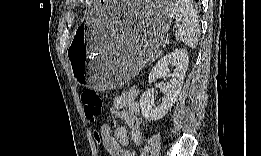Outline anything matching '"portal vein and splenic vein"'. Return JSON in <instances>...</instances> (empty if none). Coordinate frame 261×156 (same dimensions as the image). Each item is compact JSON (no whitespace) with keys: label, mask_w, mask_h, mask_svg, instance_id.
I'll use <instances>...</instances> for the list:
<instances>
[{"label":"portal vein and splenic vein","mask_w":261,"mask_h":156,"mask_svg":"<svg viewBox=\"0 0 261 156\" xmlns=\"http://www.w3.org/2000/svg\"><path fill=\"white\" fill-rule=\"evenodd\" d=\"M168 43H169V40H168V39H166V40H165V44H168Z\"/></svg>","instance_id":"1"}]
</instances>
